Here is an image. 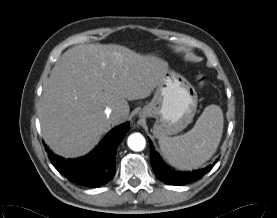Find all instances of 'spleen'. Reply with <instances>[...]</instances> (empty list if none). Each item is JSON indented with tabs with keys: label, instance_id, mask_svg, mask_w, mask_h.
Returning a JSON list of instances; mask_svg holds the SVG:
<instances>
[{
	"label": "spleen",
	"instance_id": "1",
	"mask_svg": "<svg viewBox=\"0 0 277 218\" xmlns=\"http://www.w3.org/2000/svg\"><path fill=\"white\" fill-rule=\"evenodd\" d=\"M224 118L219 106H207L187 133L160 137V150L172 166L190 170L201 166L216 152L223 133Z\"/></svg>",
	"mask_w": 277,
	"mask_h": 218
}]
</instances>
